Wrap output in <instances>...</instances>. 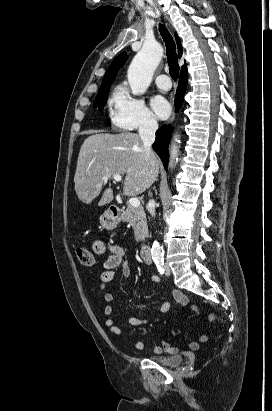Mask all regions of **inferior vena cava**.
Segmentation results:
<instances>
[{
	"label": "inferior vena cava",
	"instance_id": "602c4592",
	"mask_svg": "<svg viewBox=\"0 0 272 411\" xmlns=\"http://www.w3.org/2000/svg\"><path fill=\"white\" fill-rule=\"evenodd\" d=\"M158 128V123L156 119L152 117H146L142 120L139 125V136L143 143V148L145 151V161L147 166L151 163L152 150L151 146L155 140V132ZM151 195V193H149ZM147 210L151 216H155V202L153 199L147 204Z\"/></svg>",
	"mask_w": 272,
	"mask_h": 411
}]
</instances>
